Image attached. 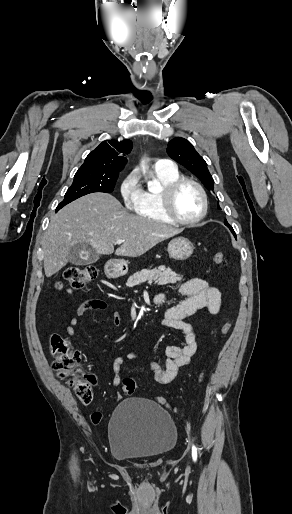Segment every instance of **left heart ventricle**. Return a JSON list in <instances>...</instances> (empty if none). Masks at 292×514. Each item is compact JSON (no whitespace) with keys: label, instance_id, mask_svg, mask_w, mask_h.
Returning a JSON list of instances; mask_svg holds the SVG:
<instances>
[{"label":"left heart ventricle","instance_id":"1","mask_svg":"<svg viewBox=\"0 0 292 514\" xmlns=\"http://www.w3.org/2000/svg\"><path fill=\"white\" fill-rule=\"evenodd\" d=\"M201 209V200L198 191L190 185L179 188L173 198V210L182 220L195 218Z\"/></svg>","mask_w":292,"mask_h":514}]
</instances>
